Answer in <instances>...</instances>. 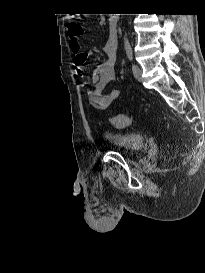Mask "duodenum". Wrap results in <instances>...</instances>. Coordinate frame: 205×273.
I'll list each match as a JSON object with an SVG mask.
<instances>
[{
  "label": "duodenum",
  "mask_w": 205,
  "mask_h": 273,
  "mask_svg": "<svg viewBox=\"0 0 205 273\" xmlns=\"http://www.w3.org/2000/svg\"><path fill=\"white\" fill-rule=\"evenodd\" d=\"M117 21H118V15L117 14H111L108 18L109 26L111 27L112 30L115 31L116 26H117ZM113 41H116V37L113 36Z\"/></svg>",
  "instance_id": "obj_1"
}]
</instances>
